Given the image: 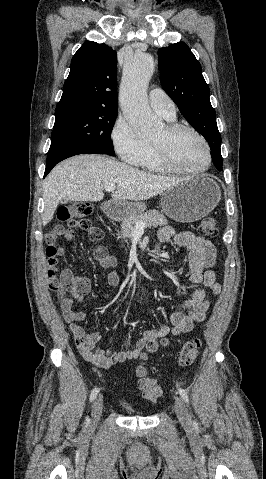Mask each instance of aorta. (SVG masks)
Returning a JSON list of instances; mask_svg holds the SVG:
<instances>
[{
  "label": "aorta",
  "mask_w": 266,
  "mask_h": 479,
  "mask_svg": "<svg viewBox=\"0 0 266 479\" xmlns=\"http://www.w3.org/2000/svg\"><path fill=\"white\" fill-rule=\"evenodd\" d=\"M153 71L154 60L147 53L135 55L124 66L120 103L124 117L138 135H149L162 124L147 101L146 90Z\"/></svg>",
  "instance_id": "1"
}]
</instances>
